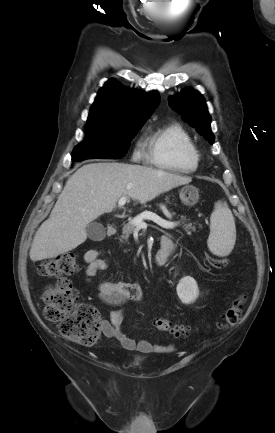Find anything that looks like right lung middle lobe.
I'll use <instances>...</instances> for the list:
<instances>
[{
  "instance_id": "1",
  "label": "right lung middle lobe",
  "mask_w": 275,
  "mask_h": 433,
  "mask_svg": "<svg viewBox=\"0 0 275 433\" xmlns=\"http://www.w3.org/2000/svg\"><path fill=\"white\" fill-rule=\"evenodd\" d=\"M145 122L103 124L87 122L86 137L72 153V161L103 158L117 159L128 151L130 141Z\"/></svg>"
}]
</instances>
